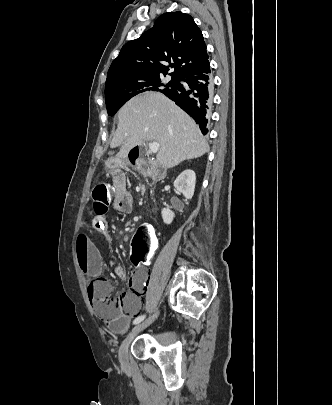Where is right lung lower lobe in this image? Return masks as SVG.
<instances>
[{
    "mask_svg": "<svg viewBox=\"0 0 332 405\" xmlns=\"http://www.w3.org/2000/svg\"><path fill=\"white\" fill-rule=\"evenodd\" d=\"M179 80L187 83V87L178 84L164 94L187 112L197 124L202 133L208 132V119L212 107L213 81L210 63L206 60L201 65L185 72Z\"/></svg>",
    "mask_w": 332,
    "mask_h": 405,
    "instance_id": "98d812e1",
    "label": "right lung lower lobe"
}]
</instances>
